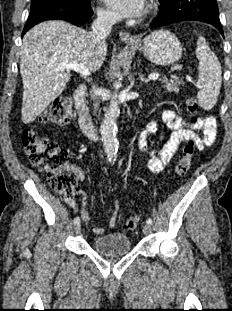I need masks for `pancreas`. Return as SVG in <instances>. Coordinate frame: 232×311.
Returning a JSON list of instances; mask_svg holds the SVG:
<instances>
[{"label":"pancreas","mask_w":232,"mask_h":311,"mask_svg":"<svg viewBox=\"0 0 232 311\" xmlns=\"http://www.w3.org/2000/svg\"><path fill=\"white\" fill-rule=\"evenodd\" d=\"M160 81L169 92H178L179 86L183 84L181 80H168L166 77L160 78Z\"/></svg>","instance_id":"cf45deb5"}]
</instances>
